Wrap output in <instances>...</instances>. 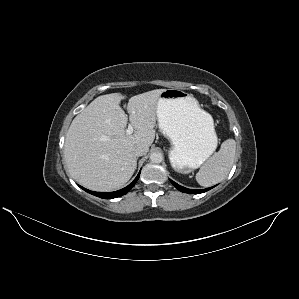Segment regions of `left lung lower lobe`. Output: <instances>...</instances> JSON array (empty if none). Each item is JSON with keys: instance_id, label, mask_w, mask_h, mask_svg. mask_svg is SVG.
<instances>
[{"instance_id": "obj_1", "label": "left lung lower lobe", "mask_w": 299, "mask_h": 299, "mask_svg": "<svg viewBox=\"0 0 299 299\" xmlns=\"http://www.w3.org/2000/svg\"><path fill=\"white\" fill-rule=\"evenodd\" d=\"M171 183L178 189L180 190L181 192H184V193H190V194H199V193H203V192H206L208 190H210L211 188H206V189H202V190H194V189H187L183 186H180L178 185L177 183H175L174 181L171 180Z\"/></svg>"}]
</instances>
